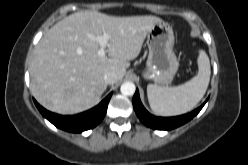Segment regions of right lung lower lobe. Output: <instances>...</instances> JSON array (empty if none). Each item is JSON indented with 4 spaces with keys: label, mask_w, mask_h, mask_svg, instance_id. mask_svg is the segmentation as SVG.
I'll list each match as a JSON object with an SVG mask.
<instances>
[{
    "label": "right lung lower lobe",
    "mask_w": 248,
    "mask_h": 165,
    "mask_svg": "<svg viewBox=\"0 0 248 165\" xmlns=\"http://www.w3.org/2000/svg\"><path fill=\"white\" fill-rule=\"evenodd\" d=\"M112 96L110 93L99 105L96 107L73 116H62L47 111L41 107L35 100V104L40 113L49 120L56 127L63 129L68 132L80 133L85 130L94 128L104 118L109 100Z\"/></svg>",
    "instance_id": "obj_1"
}]
</instances>
